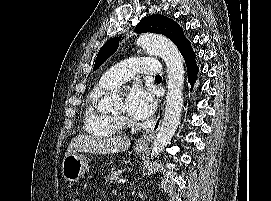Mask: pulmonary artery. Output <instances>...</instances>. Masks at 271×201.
I'll use <instances>...</instances> for the list:
<instances>
[{
	"instance_id": "e3ab8cb5",
	"label": "pulmonary artery",
	"mask_w": 271,
	"mask_h": 201,
	"mask_svg": "<svg viewBox=\"0 0 271 201\" xmlns=\"http://www.w3.org/2000/svg\"><path fill=\"white\" fill-rule=\"evenodd\" d=\"M158 75L161 73L159 61L153 57L129 58L109 69L101 78L100 84L113 88L128 81L136 74Z\"/></svg>"
}]
</instances>
